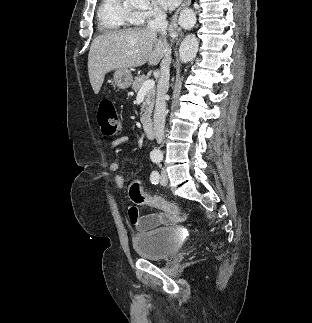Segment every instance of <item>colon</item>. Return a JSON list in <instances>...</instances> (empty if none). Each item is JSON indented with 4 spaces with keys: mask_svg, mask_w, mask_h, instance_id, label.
Here are the masks:
<instances>
[{
    "mask_svg": "<svg viewBox=\"0 0 312 323\" xmlns=\"http://www.w3.org/2000/svg\"><path fill=\"white\" fill-rule=\"evenodd\" d=\"M97 122L101 134L105 137H113L120 131V120L117 115L116 108L111 98H104L100 101L97 111ZM129 194L135 203L140 205H151L154 208L162 209L168 213H174L179 220L185 218V211L182 207L174 205L167 200L159 197L146 196L138 184H141V177H130ZM132 218H136L137 212L135 208L130 209Z\"/></svg>",
    "mask_w": 312,
    "mask_h": 323,
    "instance_id": "colon-1",
    "label": "colon"
}]
</instances>
